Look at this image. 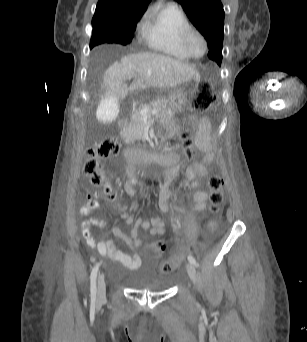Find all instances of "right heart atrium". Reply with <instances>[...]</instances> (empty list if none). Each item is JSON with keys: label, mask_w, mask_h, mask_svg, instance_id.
Masks as SVG:
<instances>
[{"label": "right heart atrium", "mask_w": 307, "mask_h": 342, "mask_svg": "<svg viewBox=\"0 0 307 342\" xmlns=\"http://www.w3.org/2000/svg\"><path fill=\"white\" fill-rule=\"evenodd\" d=\"M150 34V32L147 30L145 24L142 21L137 22L133 27V36L139 37L143 35Z\"/></svg>", "instance_id": "obj_1"}]
</instances>
